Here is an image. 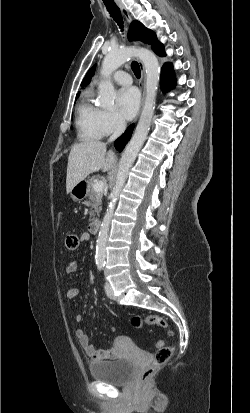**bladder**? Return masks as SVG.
Here are the masks:
<instances>
[{"label": "bladder", "instance_id": "obj_1", "mask_svg": "<svg viewBox=\"0 0 250 413\" xmlns=\"http://www.w3.org/2000/svg\"><path fill=\"white\" fill-rule=\"evenodd\" d=\"M93 379L111 385L125 384L134 371V364L128 358H117L111 361H97L89 365Z\"/></svg>", "mask_w": 250, "mask_h": 413}]
</instances>
